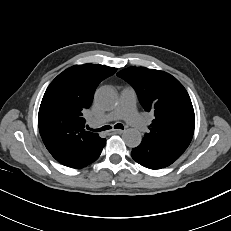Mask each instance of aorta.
Returning <instances> with one entry per match:
<instances>
[{
  "label": "aorta",
  "mask_w": 231,
  "mask_h": 231,
  "mask_svg": "<svg viewBox=\"0 0 231 231\" xmlns=\"http://www.w3.org/2000/svg\"><path fill=\"white\" fill-rule=\"evenodd\" d=\"M95 100L103 108L113 107L117 101L116 91L109 86L101 87L96 92ZM123 140L128 147L134 148L139 146L142 136L138 130H126L123 133Z\"/></svg>",
  "instance_id": "obj_1"
}]
</instances>
